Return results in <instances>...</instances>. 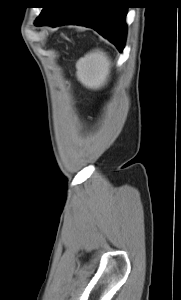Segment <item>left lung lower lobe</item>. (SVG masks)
Returning a JSON list of instances; mask_svg holds the SVG:
<instances>
[{"label": "left lung lower lobe", "instance_id": "1", "mask_svg": "<svg viewBox=\"0 0 181 300\" xmlns=\"http://www.w3.org/2000/svg\"><path fill=\"white\" fill-rule=\"evenodd\" d=\"M127 8L121 0H55L37 26L77 24L90 27L122 52Z\"/></svg>", "mask_w": 181, "mask_h": 300}]
</instances>
